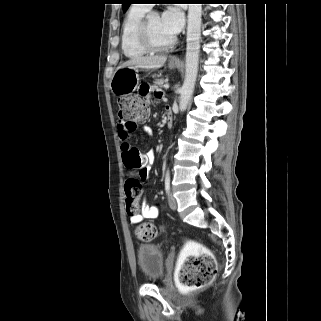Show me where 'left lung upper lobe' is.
<instances>
[{
  "mask_svg": "<svg viewBox=\"0 0 321 321\" xmlns=\"http://www.w3.org/2000/svg\"><path fill=\"white\" fill-rule=\"evenodd\" d=\"M131 3L132 0H122L123 10L126 11Z\"/></svg>",
  "mask_w": 321,
  "mask_h": 321,
  "instance_id": "left-lung-upper-lobe-1",
  "label": "left lung upper lobe"
}]
</instances>
